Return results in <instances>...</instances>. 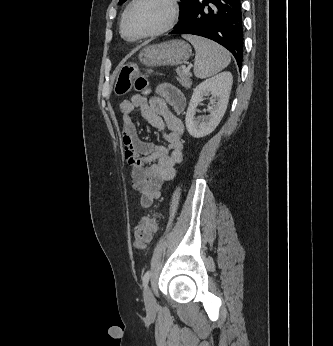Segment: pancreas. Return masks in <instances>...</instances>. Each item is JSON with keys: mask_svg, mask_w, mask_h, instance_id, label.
Listing matches in <instances>:
<instances>
[{"mask_svg": "<svg viewBox=\"0 0 333 346\" xmlns=\"http://www.w3.org/2000/svg\"><path fill=\"white\" fill-rule=\"evenodd\" d=\"M176 74H177V80L178 82L184 86L186 89H190L191 88V85H192V82H191V74L190 73H186L184 72V70H181V69H177L176 70Z\"/></svg>", "mask_w": 333, "mask_h": 346, "instance_id": "obj_1", "label": "pancreas"}]
</instances>
